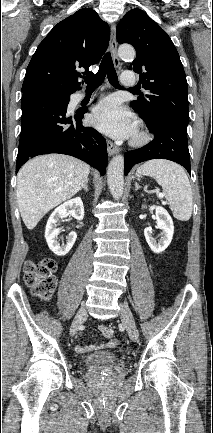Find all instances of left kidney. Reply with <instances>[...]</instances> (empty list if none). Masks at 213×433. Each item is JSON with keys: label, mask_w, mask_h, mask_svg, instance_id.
Wrapping results in <instances>:
<instances>
[{"label": "left kidney", "mask_w": 213, "mask_h": 433, "mask_svg": "<svg viewBox=\"0 0 213 433\" xmlns=\"http://www.w3.org/2000/svg\"><path fill=\"white\" fill-rule=\"evenodd\" d=\"M156 212L157 226L162 230V237L157 243L152 238V229L145 228L144 235L146 241L154 253L163 252L171 243L174 233V226L171 216L168 214L167 210L161 206H154Z\"/></svg>", "instance_id": "5707ae66"}]
</instances>
